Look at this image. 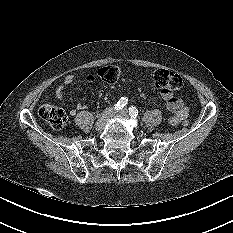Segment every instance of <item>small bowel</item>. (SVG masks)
I'll return each instance as SVG.
<instances>
[{
	"mask_svg": "<svg viewBox=\"0 0 233 233\" xmlns=\"http://www.w3.org/2000/svg\"><path fill=\"white\" fill-rule=\"evenodd\" d=\"M73 81V75L65 76L63 82L57 87L55 91L56 98L66 107L70 105L71 100L65 95V87L70 85ZM161 96L166 101L168 110L173 113V116L169 119V123L171 125H178L181 122H184L189 115V109L185 106L183 101L179 97L174 96L173 93L169 91H161ZM87 108V104L77 103L69 108V112L71 115H75L78 111L85 110Z\"/></svg>",
	"mask_w": 233,
	"mask_h": 233,
	"instance_id": "obj_1",
	"label": "small bowel"
}]
</instances>
